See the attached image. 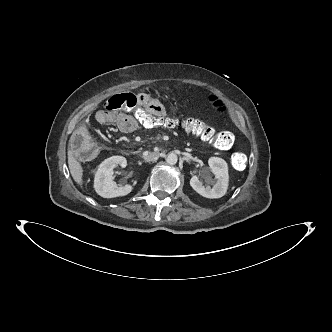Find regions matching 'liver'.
Wrapping results in <instances>:
<instances>
[{
    "label": "liver",
    "mask_w": 332,
    "mask_h": 332,
    "mask_svg": "<svg viewBox=\"0 0 332 332\" xmlns=\"http://www.w3.org/2000/svg\"><path fill=\"white\" fill-rule=\"evenodd\" d=\"M68 167L75 182L82 183L83 169L80 162L74 157V151L71 148L68 149Z\"/></svg>",
    "instance_id": "obj_1"
}]
</instances>
